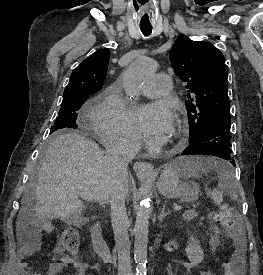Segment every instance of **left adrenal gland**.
Segmentation results:
<instances>
[{
  "mask_svg": "<svg viewBox=\"0 0 263 275\" xmlns=\"http://www.w3.org/2000/svg\"><path fill=\"white\" fill-rule=\"evenodd\" d=\"M165 204L163 205L162 209H161V213L158 216V220L159 222H163V220L165 219V217L169 214V212H165Z\"/></svg>",
  "mask_w": 263,
  "mask_h": 275,
  "instance_id": "obj_1",
  "label": "left adrenal gland"
}]
</instances>
